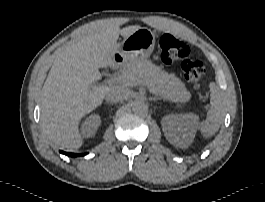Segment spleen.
I'll return each instance as SVG.
<instances>
[{
	"label": "spleen",
	"instance_id": "1",
	"mask_svg": "<svg viewBox=\"0 0 265 202\" xmlns=\"http://www.w3.org/2000/svg\"><path fill=\"white\" fill-rule=\"evenodd\" d=\"M210 91L211 107L207 112L206 119L199 125V129L205 137L214 135L224 119L223 97L218 86L215 83H210Z\"/></svg>",
	"mask_w": 265,
	"mask_h": 202
}]
</instances>
